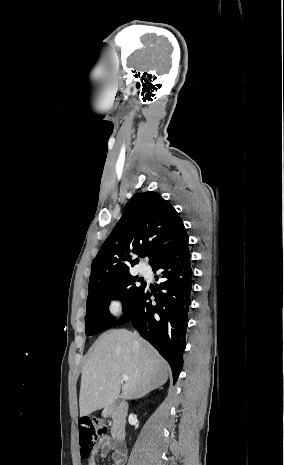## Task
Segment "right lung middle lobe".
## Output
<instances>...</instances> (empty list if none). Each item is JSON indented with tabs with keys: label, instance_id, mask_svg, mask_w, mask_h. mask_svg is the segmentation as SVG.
Returning a JSON list of instances; mask_svg holds the SVG:
<instances>
[{
	"label": "right lung middle lobe",
	"instance_id": "obj_1",
	"mask_svg": "<svg viewBox=\"0 0 284 465\" xmlns=\"http://www.w3.org/2000/svg\"><path fill=\"white\" fill-rule=\"evenodd\" d=\"M137 281V276L129 275L89 291L85 316L87 336L99 334L114 322L115 318L108 310L111 299H121L123 309L126 310L134 297L145 286V283L136 285Z\"/></svg>",
	"mask_w": 284,
	"mask_h": 465
}]
</instances>
